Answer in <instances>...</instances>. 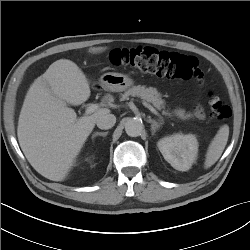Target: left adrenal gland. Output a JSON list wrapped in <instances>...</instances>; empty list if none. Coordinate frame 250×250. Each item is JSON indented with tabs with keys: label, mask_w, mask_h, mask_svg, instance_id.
Wrapping results in <instances>:
<instances>
[{
	"label": "left adrenal gland",
	"mask_w": 250,
	"mask_h": 250,
	"mask_svg": "<svg viewBox=\"0 0 250 250\" xmlns=\"http://www.w3.org/2000/svg\"><path fill=\"white\" fill-rule=\"evenodd\" d=\"M149 123H151V130H152V135L155 134V132L161 127V125L163 124L161 121L157 122L154 119L149 118L148 120Z\"/></svg>",
	"instance_id": "left-adrenal-gland-1"
}]
</instances>
